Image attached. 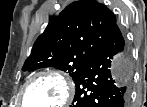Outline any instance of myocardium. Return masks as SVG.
Masks as SVG:
<instances>
[{
  "label": "myocardium",
  "mask_w": 147,
  "mask_h": 107,
  "mask_svg": "<svg viewBox=\"0 0 147 107\" xmlns=\"http://www.w3.org/2000/svg\"><path fill=\"white\" fill-rule=\"evenodd\" d=\"M41 78H54L56 80H58L64 90V95L62 100L57 103L55 106L53 107H64L67 104H69L71 102V99L73 97L74 94V85L73 82L62 72L57 71V70H45V71H41L38 72L36 74H34L22 87L21 89V93H20V103L24 106H26V92L28 90V88L37 80L41 79Z\"/></svg>",
  "instance_id": "myocardium-1"
}]
</instances>
